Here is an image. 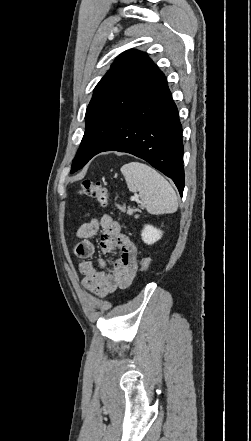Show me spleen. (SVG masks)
<instances>
[{"mask_svg": "<svg viewBox=\"0 0 251 441\" xmlns=\"http://www.w3.org/2000/svg\"><path fill=\"white\" fill-rule=\"evenodd\" d=\"M127 187L138 192L141 205L151 214H170L176 212L178 200L170 183L150 166L130 162L121 167Z\"/></svg>", "mask_w": 251, "mask_h": 441, "instance_id": "spleen-1", "label": "spleen"}]
</instances>
